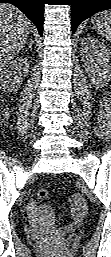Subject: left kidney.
Returning <instances> with one entry per match:
<instances>
[{
    "label": "left kidney",
    "mask_w": 111,
    "mask_h": 257,
    "mask_svg": "<svg viewBox=\"0 0 111 257\" xmlns=\"http://www.w3.org/2000/svg\"><path fill=\"white\" fill-rule=\"evenodd\" d=\"M81 55L85 69L93 82L107 84L111 79V52L103 43L91 37L81 41Z\"/></svg>",
    "instance_id": "1"
}]
</instances>
